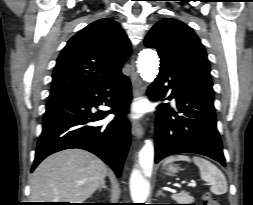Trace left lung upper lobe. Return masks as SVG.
<instances>
[{
    "mask_svg": "<svg viewBox=\"0 0 253 205\" xmlns=\"http://www.w3.org/2000/svg\"><path fill=\"white\" fill-rule=\"evenodd\" d=\"M145 46L156 48L161 61L173 64L213 93L206 51L189 26L176 19H163L150 30Z\"/></svg>",
    "mask_w": 253,
    "mask_h": 205,
    "instance_id": "left-lung-upper-lobe-1",
    "label": "left lung upper lobe"
}]
</instances>
